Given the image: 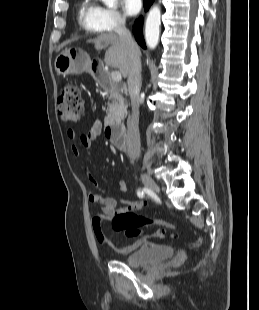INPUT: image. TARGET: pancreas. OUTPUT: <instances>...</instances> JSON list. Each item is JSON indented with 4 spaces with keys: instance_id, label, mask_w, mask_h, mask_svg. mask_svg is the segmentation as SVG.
<instances>
[{
    "instance_id": "obj_1",
    "label": "pancreas",
    "mask_w": 259,
    "mask_h": 310,
    "mask_svg": "<svg viewBox=\"0 0 259 310\" xmlns=\"http://www.w3.org/2000/svg\"><path fill=\"white\" fill-rule=\"evenodd\" d=\"M113 86L115 85L112 82ZM111 102L108 105V112L105 118V123L115 124L120 123L127 113V105L124 103L123 97L113 88L111 93Z\"/></svg>"
}]
</instances>
